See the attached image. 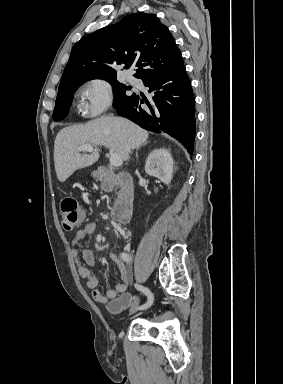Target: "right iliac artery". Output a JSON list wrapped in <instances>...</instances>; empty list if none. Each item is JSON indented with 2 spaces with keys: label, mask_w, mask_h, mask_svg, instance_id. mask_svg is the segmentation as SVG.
<instances>
[{
  "label": "right iliac artery",
  "mask_w": 283,
  "mask_h": 384,
  "mask_svg": "<svg viewBox=\"0 0 283 384\" xmlns=\"http://www.w3.org/2000/svg\"><path fill=\"white\" fill-rule=\"evenodd\" d=\"M120 258H122L126 262L131 261V258L126 253H121ZM134 286L137 290L143 292L147 296V302L141 306H138L137 310H144V309L149 308L152 305L153 300H154V297H153V294L151 293V291L148 288L141 286L139 284H134Z\"/></svg>",
  "instance_id": "82829eb1"
}]
</instances>
